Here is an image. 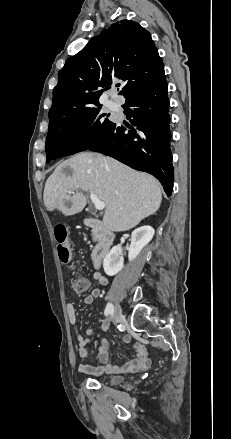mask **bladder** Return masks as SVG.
<instances>
[{
  "instance_id": "bladder-1",
  "label": "bladder",
  "mask_w": 231,
  "mask_h": 439,
  "mask_svg": "<svg viewBox=\"0 0 231 439\" xmlns=\"http://www.w3.org/2000/svg\"><path fill=\"white\" fill-rule=\"evenodd\" d=\"M102 380L108 384L117 385L124 380V377L121 375H109L104 377Z\"/></svg>"
}]
</instances>
